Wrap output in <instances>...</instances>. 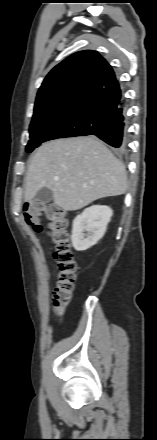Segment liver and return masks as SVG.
<instances>
[{
  "instance_id": "1",
  "label": "liver",
  "mask_w": 157,
  "mask_h": 440,
  "mask_svg": "<svg viewBox=\"0 0 157 440\" xmlns=\"http://www.w3.org/2000/svg\"><path fill=\"white\" fill-rule=\"evenodd\" d=\"M44 187L53 192L56 206L74 211L97 199L124 194L126 169L95 137L54 140L41 145L30 160L25 200Z\"/></svg>"
}]
</instances>
